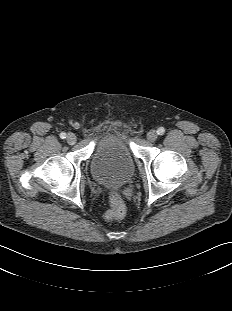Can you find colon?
Here are the masks:
<instances>
[{
	"label": "colon",
	"instance_id": "1",
	"mask_svg": "<svg viewBox=\"0 0 232 311\" xmlns=\"http://www.w3.org/2000/svg\"><path fill=\"white\" fill-rule=\"evenodd\" d=\"M126 213V206L120 194L112 191L109 194V208L105 212V219L114 221L122 218Z\"/></svg>",
	"mask_w": 232,
	"mask_h": 311
}]
</instances>
